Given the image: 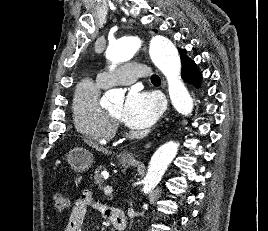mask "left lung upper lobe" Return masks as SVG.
Returning <instances> with one entry per match:
<instances>
[{
    "label": "left lung upper lobe",
    "mask_w": 268,
    "mask_h": 231,
    "mask_svg": "<svg viewBox=\"0 0 268 231\" xmlns=\"http://www.w3.org/2000/svg\"><path fill=\"white\" fill-rule=\"evenodd\" d=\"M179 50H180V57H181L182 61L185 60L186 58H188L186 55L185 49H179Z\"/></svg>",
    "instance_id": "obj_1"
}]
</instances>
